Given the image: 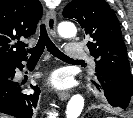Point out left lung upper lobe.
<instances>
[{"instance_id":"1","label":"left lung upper lobe","mask_w":133,"mask_h":118,"mask_svg":"<svg viewBox=\"0 0 133 118\" xmlns=\"http://www.w3.org/2000/svg\"><path fill=\"white\" fill-rule=\"evenodd\" d=\"M63 16L76 20L84 29L90 54L95 58L96 76L102 73L133 94L126 46L119 21L109 5L104 0H72Z\"/></svg>"}]
</instances>
